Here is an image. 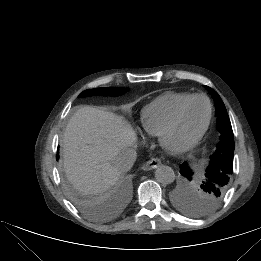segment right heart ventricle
I'll return each instance as SVG.
<instances>
[{"label":"right heart ventricle","mask_w":261,"mask_h":261,"mask_svg":"<svg viewBox=\"0 0 261 261\" xmlns=\"http://www.w3.org/2000/svg\"><path fill=\"white\" fill-rule=\"evenodd\" d=\"M190 95L167 92L152 100L141 111L140 123L143 132L149 137H158L176 107Z\"/></svg>","instance_id":"e07e8e85"}]
</instances>
